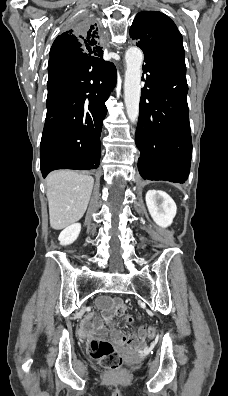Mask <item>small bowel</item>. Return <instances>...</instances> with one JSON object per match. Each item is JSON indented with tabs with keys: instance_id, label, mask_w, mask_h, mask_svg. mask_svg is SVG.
Listing matches in <instances>:
<instances>
[{
	"instance_id": "obj_1",
	"label": "small bowel",
	"mask_w": 228,
	"mask_h": 396,
	"mask_svg": "<svg viewBox=\"0 0 228 396\" xmlns=\"http://www.w3.org/2000/svg\"><path fill=\"white\" fill-rule=\"evenodd\" d=\"M98 306L102 310L103 317L96 318L92 323H90L89 319H85L79 330L81 336H88L91 328L96 329L100 333H106L108 329L105 327L104 322L109 324L115 316H120L125 312V306L118 298L102 297L98 301ZM112 335L116 341L127 343L129 347L142 346L145 343L146 338L144 328H141L137 335L130 334L128 336H124L116 330H112Z\"/></svg>"
}]
</instances>
